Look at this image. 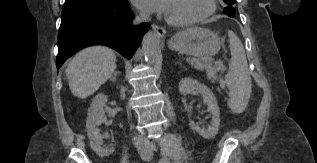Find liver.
<instances>
[{"label": "liver", "mask_w": 317, "mask_h": 163, "mask_svg": "<svg viewBox=\"0 0 317 163\" xmlns=\"http://www.w3.org/2000/svg\"><path fill=\"white\" fill-rule=\"evenodd\" d=\"M116 69V56L106 46H92L75 55L66 68L72 94L86 99L104 84Z\"/></svg>", "instance_id": "1"}]
</instances>
